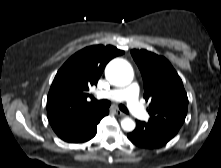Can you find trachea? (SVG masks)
<instances>
[{
	"mask_svg": "<svg viewBox=\"0 0 221 168\" xmlns=\"http://www.w3.org/2000/svg\"><path fill=\"white\" fill-rule=\"evenodd\" d=\"M93 101L95 103H97L99 106H102V107H110L111 105V102L108 101V100H100V101H97L96 99H93ZM119 109L125 113H128V109L124 106V105H119Z\"/></svg>",
	"mask_w": 221,
	"mask_h": 168,
	"instance_id": "1",
	"label": "trachea"
}]
</instances>
